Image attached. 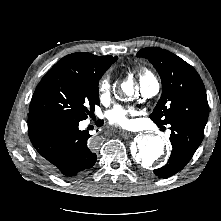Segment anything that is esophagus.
<instances>
[{"label": "esophagus", "instance_id": "1", "mask_svg": "<svg viewBox=\"0 0 221 221\" xmlns=\"http://www.w3.org/2000/svg\"><path fill=\"white\" fill-rule=\"evenodd\" d=\"M127 133H128V132H126V131H123V134H125V135H126ZM125 135H124V136H125Z\"/></svg>", "mask_w": 221, "mask_h": 221}]
</instances>
